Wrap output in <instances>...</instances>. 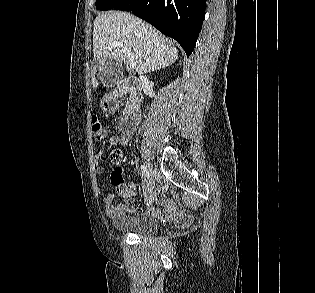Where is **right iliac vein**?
Wrapping results in <instances>:
<instances>
[{"instance_id":"63e3f726","label":"right iliac vein","mask_w":315,"mask_h":293,"mask_svg":"<svg viewBox=\"0 0 315 293\" xmlns=\"http://www.w3.org/2000/svg\"><path fill=\"white\" fill-rule=\"evenodd\" d=\"M148 168H149V172H150V179L148 182V189L150 191L153 190L154 186H155V180L158 177L157 171L153 168V166L151 164H148Z\"/></svg>"}]
</instances>
